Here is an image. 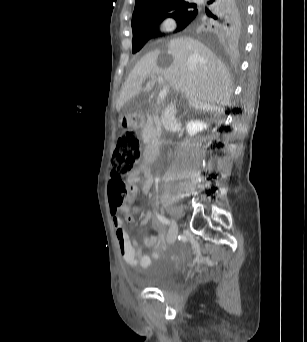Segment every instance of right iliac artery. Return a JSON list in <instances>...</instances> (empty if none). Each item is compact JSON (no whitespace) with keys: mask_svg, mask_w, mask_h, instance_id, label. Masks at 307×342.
Wrapping results in <instances>:
<instances>
[{"mask_svg":"<svg viewBox=\"0 0 307 342\" xmlns=\"http://www.w3.org/2000/svg\"><path fill=\"white\" fill-rule=\"evenodd\" d=\"M156 216L159 219V221L162 222L163 224L170 225V221L166 217L159 215L157 213H156Z\"/></svg>","mask_w":307,"mask_h":342,"instance_id":"obj_1","label":"right iliac artery"}]
</instances>
